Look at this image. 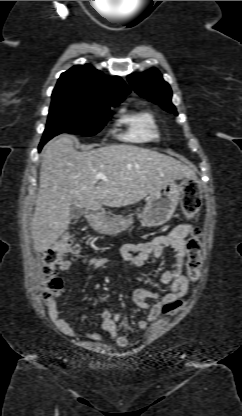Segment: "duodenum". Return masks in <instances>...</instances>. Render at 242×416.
Wrapping results in <instances>:
<instances>
[{
	"instance_id": "1",
	"label": "duodenum",
	"mask_w": 242,
	"mask_h": 416,
	"mask_svg": "<svg viewBox=\"0 0 242 416\" xmlns=\"http://www.w3.org/2000/svg\"><path fill=\"white\" fill-rule=\"evenodd\" d=\"M89 214H90L91 216H96V215L98 214V211H97V210H95V209H90V210H89Z\"/></svg>"
}]
</instances>
